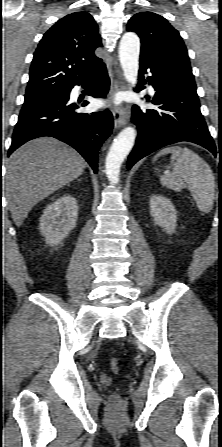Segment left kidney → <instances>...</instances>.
<instances>
[{
    "mask_svg": "<svg viewBox=\"0 0 222 447\" xmlns=\"http://www.w3.org/2000/svg\"><path fill=\"white\" fill-rule=\"evenodd\" d=\"M150 214L157 225L168 234H172L176 228L177 211L171 201L161 195L150 197Z\"/></svg>",
    "mask_w": 222,
    "mask_h": 447,
    "instance_id": "obj_1",
    "label": "left kidney"
}]
</instances>
